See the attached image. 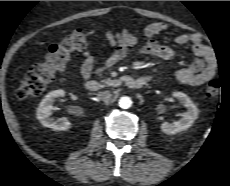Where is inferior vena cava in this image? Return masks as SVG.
I'll use <instances>...</instances> for the list:
<instances>
[{"instance_id": "obj_1", "label": "inferior vena cava", "mask_w": 230, "mask_h": 186, "mask_svg": "<svg viewBox=\"0 0 230 186\" xmlns=\"http://www.w3.org/2000/svg\"><path fill=\"white\" fill-rule=\"evenodd\" d=\"M97 96L101 101L105 103H109L112 99V94L110 91H101L97 94Z\"/></svg>"}]
</instances>
